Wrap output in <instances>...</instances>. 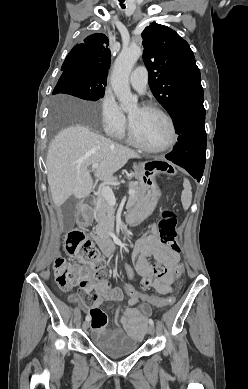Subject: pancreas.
Returning a JSON list of instances; mask_svg holds the SVG:
<instances>
[{
	"label": "pancreas",
	"instance_id": "obj_1",
	"mask_svg": "<svg viewBox=\"0 0 248 389\" xmlns=\"http://www.w3.org/2000/svg\"><path fill=\"white\" fill-rule=\"evenodd\" d=\"M128 187L130 191H134V194L130 195L127 206L129 209H133L137 204L143 187L136 182H130ZM113 212V206L109 204L103 196L99 197L98 206L95 209V220L97 221V225L94 227L95 233L99 238L105 239L108 237V230L112 226L111 215Z\"/></svg>",
	"mask_w": 248,
	"mask_h": 389
}]
</instances>
